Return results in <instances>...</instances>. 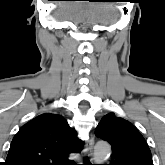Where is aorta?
Masks as SVG:
<instances>
[{
	"label": "aorta",
	"mask_w": 165,
	"mask_h": 165,
	"mask_svg": "<svg viewBox=\"0 0 165 165\" xmlns=\"http://www.w3.org/2000/svg\"><path fill=\"white\" fill-rule=\"evenodd\" d=\"M111 153V147L106 142H99L94 148V160L97 163L103 162Z\"/></svg>",
	"instance_id": "obj_1"
}]
</instances>
